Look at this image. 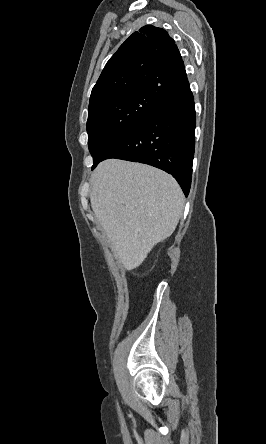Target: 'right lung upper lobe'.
I'll return each instance as SVG.
<instances>
[{"instance_id": "cb5924a9", "label": "right lung upper lobe", "mask_w": 266, "mask_h": 444, "mask_svg": "<svg viewBox=\"0 0 266 444\" xmlns=\"http://www.w3.org/2000/svg\"><path fill=\"white\" fill-rule=\"evenodd\" d=\"M188 87L175 41L164 29L146 25L109 59L92 89L89 109L128 92L143 91L164 100Z\"/></svg>"}]
</instances>
